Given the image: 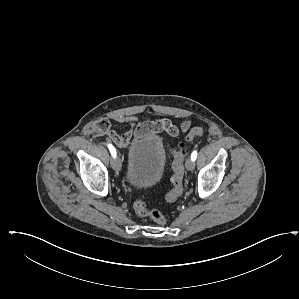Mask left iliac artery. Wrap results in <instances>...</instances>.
<instances>
[{"instance_id": "left-iliac-artery-1", "label": "left iliac artery", "mask_w": 299, "mask_h": 299, "mask_svg": "<svg viewBox=\"0 0 299 299\" xmlns=\"http://www.w3.org/2000/svg\"><path fill=\"white\" fill-rule=\"evenodd\" d=\"M196 158H197V150H194V151L192 152V154H191V159H192L193 161H195Z\"/></svg>"}]
</instances>
